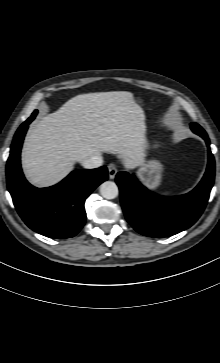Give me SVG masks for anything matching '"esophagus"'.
<instances>
[{
	"label": "esophagus",
	"mask_w": 220,
	"mask_h": 363,
	"mask_svg": "<svg viewBox=\"0 0 220 363\" xmlns=\"http://www.w3.org/2000/svg\"><path fill=\"white\" fill-rule=\"evenodd\" d=\"M117 174V167L114 164L108 165V175L110 179H114Z\"/></svg>",
	"instance_id": "34e87169"
}]
</instances>
